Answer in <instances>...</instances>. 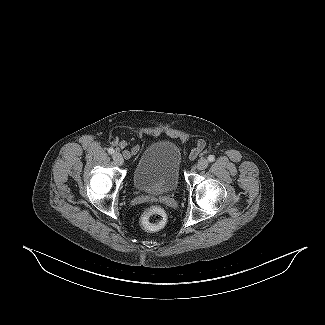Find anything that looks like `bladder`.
<instances>
[{"label": "bladder", "mask_w": 325, "mask_h": 325, "mask_svg": "<svg viewBox=\"0 0 325 325\" xmlns=\"http://www.w3.org/2000/svg\"><path fill=\"white\" fill-rule=\"evenodd\" d=\"M181 160V150L176 144L170 141L151 143L144 149L135 166V188L150 194L173 192L179 184Z\"/></svg>", "instance_id": "1"}]
</instances>
